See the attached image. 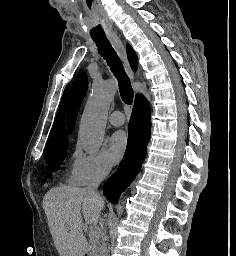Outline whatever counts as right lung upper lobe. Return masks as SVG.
<instances>
[{"label":"right lung upper lobe","instance_id":"cb5924a9","mask_svg":"<svg viewBox=\"0 0 236 256\" xmlns=\"http://www.w3.org/2000/svg\"><path fill=\"white\" fill-rule=\"evenodd\" d=\"M127 55L133 71L137 69V56L130 45H127ZM69 85L65 88L53 128L47 142L58 141L67 138L64 121V109Z\"/></svg>","mask_w":236,"mask_h":256}]
</instances>
